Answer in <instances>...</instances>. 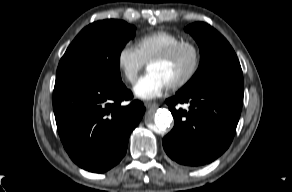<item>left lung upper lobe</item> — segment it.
I'll use <instances>...</instances> for the list:
<instances>
[{
  "label": "left lung upper lobe",
  "instance_id": "5c2ea615",
  "mask_svg": "<svg viewBox=\"0 0 292 192\" xmlns=\"http://www.w3.org/2000/svg\"><path fill=\"white\" fill-rule=\"evenodd\" d=\"M199 45L201 61L193 77L178 94L217 85L243 86L238 58L228 41L213 27L203 22L185 28Z\"/></svg>",
  "mask_w": 292,
  "mask_h": 192
}]
</instances>
